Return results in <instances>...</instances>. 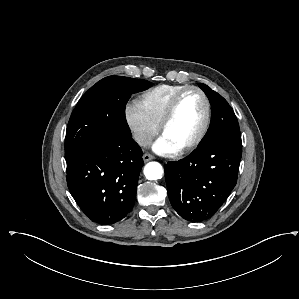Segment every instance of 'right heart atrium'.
<instances>
[{
	"label": "right heart atrium",
	"instance_id": "right-heart-atrium-1",
	"mask_svg": "<svg viewBox=\"0 0 299 299\" xmlns=\"http://www.w3.org/2000/svg\"><path fill=\"white\" fill-rule=\"evenodd\" d=\"M125 118L132 138L139 146L149 144L158 133V126L148 118L137 102L127 105Z\"/></svg>",
	"mask_w": 299,
	"mask_h": 299
}]
</instances>
